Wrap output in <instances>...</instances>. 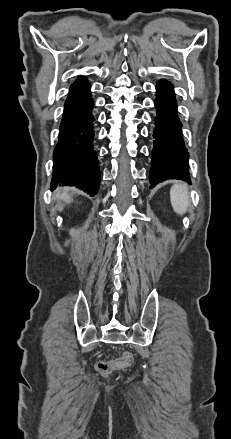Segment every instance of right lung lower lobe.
Returning a JSON list of instances; mask_svg holds the SVG:
<instances>
[{
    "label": "right lung lower lobe",
    "mask_w": 231,
    "mask_h": 439,
    "mask_svg": "<svg viewBox=\"0 0 231 439\" xmlns=\"http://www.w3.org/2000/svg\"><path fill=\"white\" fill-rule=\"evenodd\" d=\"M93 100L90 84L84 78L71 85L64 105L59 140L53 152L51 186H76L91 196L97 194L100 170L93 149Z\"/></svg>",
    "instance_id": "right-lung-lower-lobe-1"
}]
</instances>
